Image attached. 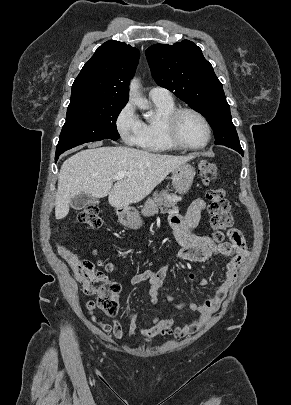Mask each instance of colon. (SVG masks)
Returning <instances> with one entry per match:
<instances>
[{
  "instance_id": "obj_1",
  "label": "colon",
  "mask_w": 291,
  "mask_h": 405,
  "mask_svg": "<svg viewBox=\"0 0 291 405\" xmlns=\"http://www.w3.org/2000/svg\"><path fill=\"white\" fill-rule=\"evenodd\" d=\"M198 172L204 178L206 184H210L217 178V167L208 160L201 159L198 162ZM210 223L215 230L214 239L222 242L225 239V231L232 223L230 215V203L225 197V191L221 188H211L208 191ZM76 222L90 229L101 226L102 220L98 209L88 207L81 211ZM60 255L72 269L75 278L82 285L87 295L97 297L98 307L107 315H114L118 310V294L120 286L110 280L103 272L96 270L93 263L80 259L72 250L59 246ZM112 270V266H107Z\"/></svg>"
}]
</instances>
